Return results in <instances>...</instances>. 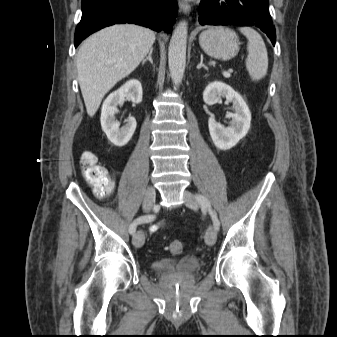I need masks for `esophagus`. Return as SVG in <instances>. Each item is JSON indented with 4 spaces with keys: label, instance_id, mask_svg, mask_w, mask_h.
Instances as JSON below:
<instances>
[{
    "label": "esophagus",
    "instance_id": "esophagus-1",
    "mask_svg": "<svg viewBox=\"0 0 337 337\" xmlns=\"http://www.w3.org/2000/svg\"><path fill=\"white\" fill-rule=\"evenodd\" d=\"M179 8L180 10L184 13V14H189L191 11V5L183 0H179L178 2Z\"/></svg>",
    "mask_w": 337,
    "mask_h": 337
}]
</instances>
